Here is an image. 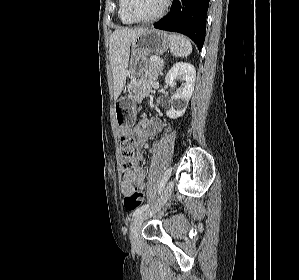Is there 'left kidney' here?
I'll list each match as a JSON object with an SVG mask.
<instances>
[{"mask_svg": "<svg viewBox=\"0 0 299 280\" xmlns=\"http://www.w3.org/2000/svg\"><path fill=\"white\" fill-rule=\"evenodd\" d=\"M196 77V70L193 65L185 62H178L169 70L165 77L166 84L175 85V79L180 78L185 83L177 89L171 97V109L166 112L169 118L175 119L182 116L187 108L193 90Z\"/></svg>", "mask_w": 299, "mask_h": 280, "instance_id": "obj_1", "label": "left kidney"}]
</instances>
